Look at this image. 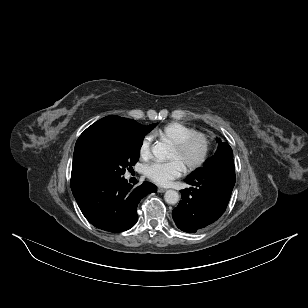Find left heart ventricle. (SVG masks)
<instances>
[{
  "label": "left heart ventricle",
  "instance_id": "left-heart-ventricle-1",
  "mask_svg": "<svg viewBox=\"0 0 308 308\" xmlns=\"http://www.w3.org/2000/svg\"><path fill=\"white\" fill-rule=\"evenodd\" d=\"M203 150V143L200 140L195 141L184 153L180 154L175 148L172 149L171 158H178L186 166L195 161Z\"/></svg>",
  "mask_w": 308,
  "mask_h": 308
}]
</instances>
